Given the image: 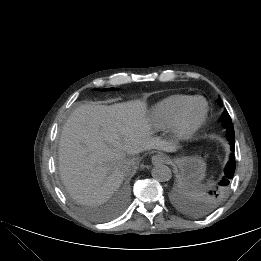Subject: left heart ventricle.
Segmentation results:
<instances>
[{
  "label": "left heart ventricle",
  "mask_w": 261,
  "mask_h": 261,
  "mask_svg": "<svg viewBox=\"0 0 261 261\" xmlns=\"http://www.w3.org/2000/svg\"><path fill=\"white\" fill-rule=\"evenodd\" d=\"M204 104L202 101H196L192 104L186 115V121L191 123L194 122L202 114Z\"/></svg>",
  "instance_id": "obj_1"
}]
</instances>
